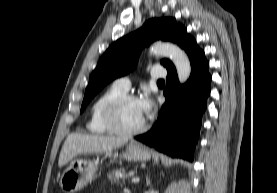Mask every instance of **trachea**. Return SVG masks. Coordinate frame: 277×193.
Masks as SVG:
<instances>
[{
	"label": "trachea",
	"instance_id": "3493384b",
	"mask_svg": "<svg viewBox=\"0 0 277 193\" xmlns=\"http://www.w3.org/2000/svg\"><path fill=\"white\" fill-rule=\"evenodd\" d=\"M158 83H164V80H158Z\"/></svg>",
	"mask_w": 277,
	"mask_h": 193
}]
</instances>
